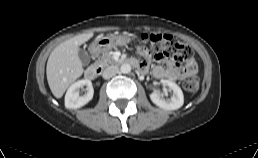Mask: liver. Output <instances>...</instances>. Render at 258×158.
I'll use <instances>...</instances> for the list:
<instances>
[{"instance_id":"liver-1","label":"liver","mask_w":258,"mask_h":158,"mask_svg":"<svg viewBox=\"0 0 258 158\" xmlns=\"http://www.w3.org/2000/svg\"><path fill=\"white\" fill-rule=\"evenodd\" d=\"M92 37V32L77 35L62 42L51 52L46 75L50 90L56 98H61L69 85L83 74L78 56L79 46Z\"/></svg>"}]
</instances>
